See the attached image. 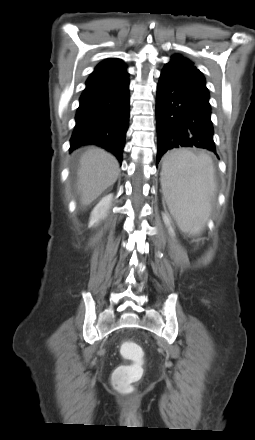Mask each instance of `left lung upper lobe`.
I'll use <instances>...</instances> for the list:
<instances>
[{"instance_id":"5c2ea615","label":"left lung upper lobe","mask_w":255,"mask_h":440,"mask_svg":"<svg viewBox=\"0 0 255 440\" xmlns=\"http://www.w3.org/2000/svg\"><path fill=\"white\" fill-rule=\"evenodd\" d=\"M165 67L174 71L190 84L200 88L201 90L209 94L203 74L194 66V63L189 59L176 54L172 56L171 61L167 63Z\"/></svg>"}]
</instances>
